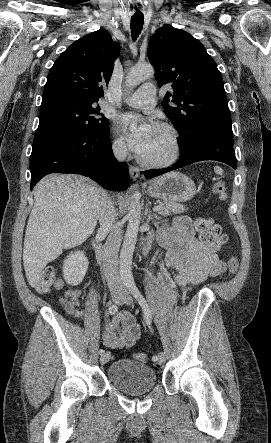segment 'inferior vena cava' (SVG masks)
<instances>
[{
	"label": "inferior vena cava",
	"mask_w": 271,
	"mask_h": 443,
	"mask_svg": "<svg viewBox=\"0 0 271 443\" xmlns=\"http://www.w3.org/2000/svg\"><path fill=\"white\" fill-rule=\"evenodd\" d=\"M115 158L117 160H125L128 154V148L125 142L117 140L112 146ZM103 202H101V210L99 214L100 227L99 231H110L106 239L103 251V271L107 279V285L110 287L111 296H126V290L122 286V279L118 271V251L122 241V229L117 225L116 210L108 198V194L104 192Z\"/></svg>",
	"instance_id": "obj_1"
}]
</instances>
